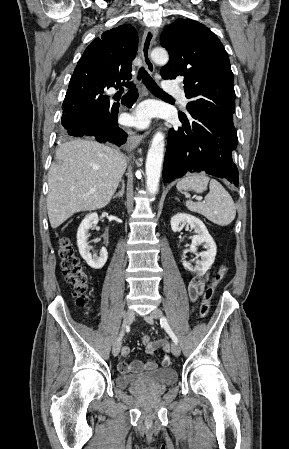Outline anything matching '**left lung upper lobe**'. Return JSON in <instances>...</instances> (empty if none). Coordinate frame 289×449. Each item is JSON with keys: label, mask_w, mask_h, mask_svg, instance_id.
Masks as SVG:
<instances>
[{"label": "left lung upper lobe", "mask_w": 289, "mask_h": 449, "mask_svg": "<svg viewBox=\"0 0 289 449\" xmlns=\"http://www.w3.org/2000/svg\"><path fill=\"white\" fill-rule=\"evenodd\" d=\"M160 43L169 52L161 76L183 78L190 115L234 127V78L228 54L217 36L197 21L178 19L163 30ZM180 116L187 119L184 114Z\"/></svg>", "instance_id": "obj_1"}]
</instances>
